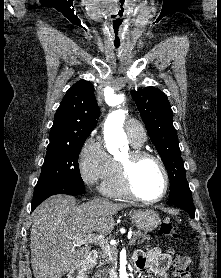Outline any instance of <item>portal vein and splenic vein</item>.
I'll return each mask as SVG.
<instances>
[{
	"label": "portal vein and splenic vein",
	"mask_w": 221,
	"mask_h": 278,
	"mask_svg": "<svg viewBox=\"0 0 221 278\" xmlns=\"http://www.w3.org/2000/svg\"><path fill=\"white\" fill-rule=\"evenodd\" d=\"M76 243L79 244H86V243H95V244H99L101 246V248L103 250H106L109 254V256L112 255V246H110L107 242V240L105 239V237L103 235H95V234H90L88 237L84 238V239H78L75 240ZM130 244L134 243V239H130Z\"/></svg>",
	"instance_id": "18ae733b"
}]
</instances>
